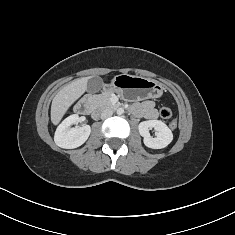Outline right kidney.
Here are the masks:
<instances>
[{
    "mask_svg": "<svg viewBox=\"0 0 235 235\" xmlns=\"http://www.w3.org/2000/svg\"><path fill=\"white\" fill-rule=\"evenodd\" d=\"M79 120V115L73 114L62 121L55 132L54 141L56 145L65 149H73L85 143L91 133V127L89 125L70 127L78 123Z\"/></svg>",
    "mask_w": 235,
    "mask_h": 235,
    "instance_id": "1",
    "label": "right kidney"
}]
</instances>
